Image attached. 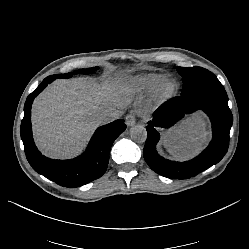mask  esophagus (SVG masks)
I'll use <instances>...</instances> for the list:
<instances>
[{"instance_id": "obj_1", "label": "esophagus", "mask_w": 249, "mask_h": 249, "mask_svg": "<svg viewBox=\"0 0 249 249\" xmlns=\"http://www.w3.org/2000/svg\"><path fill=\"white\" fill-rule=\"evenodd\" d=\"M125 120L126 125L129 127L134 126L136 123V119L132 111H130V113L126 116Z\"/></svg>"}]
</instances>
